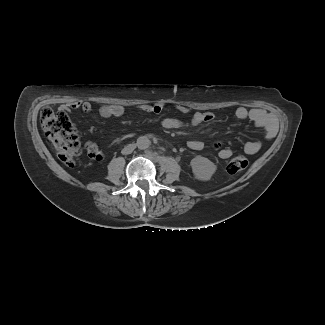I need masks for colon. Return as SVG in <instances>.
I'll list each match as a JSON object with an SVG mask.
<instances>
[{"label":"colon","mask_w":325,"mask_h":325,"mask_svg":"<svg viewBox=\"0 0 325 325\" xmlns=\"http://www.w3.org/2000/svg\"><path fill=\"white\" fill-rule=\"evenodd\" d=\"M40 123L49 145L59 160L67 166H73L81 152L77 134L67 130L60 121L59 116L50 107L41 109ZM247 166L248 160L246 157L236 156L229 161L227 171L235 174L244 170Z\"/></svg>","instance_id":"obj_1"}]
</instances>
